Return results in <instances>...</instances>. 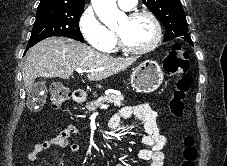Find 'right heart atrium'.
<instances>
[{
  "mask_svg": "<svg viewBox=\"0 0 227 166\" xmlns=\"http://www.w3.org/2000/svg\"><path fill=\"white\" fill-rule=\"evenodd\" d=\"M78 27L83 38L96 50L109 52L114 43V36L100 21L94 9L89 6L81 13Z\"/></svg>",
  "mask_w": 227,
  "mask_h": 166,
  "instance_id": "d8ad5b80",
  "label": "right heart atrium"
}]
</instances>
